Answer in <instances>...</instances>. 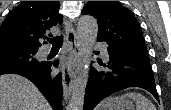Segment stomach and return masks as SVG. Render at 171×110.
Listing matches in <instances>:
<instances>
[{
    "label": "stomach",
    "instance_id": "1",
    "mask_svg": "<svg viewBox=\"0 0 171 110\" xmlns=\"http://www.w3.org/2000/svg\"><path fill=\"white\" fill-rule=\"evenodd\" d=\"M112 100L111 110H134V104L127 98H110Z\"/></svg>",
    "mask_w": 171,
    "mask_h": 110
}]
</instances>
